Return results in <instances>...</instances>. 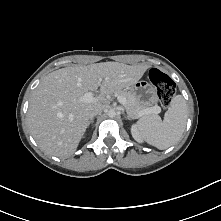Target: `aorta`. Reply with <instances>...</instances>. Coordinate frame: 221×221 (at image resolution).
<instances>
[{"instance_id": "obj_1", "label": "aorta", "mask_w": 221, "mask_h": 221, "mask_svg": "<svg viewBox=\"0 0 221 221\" xmlns=\"http://www.w3.org/2000/svg\"><path fill=\"white\" fill-rule=\"evenodd\" d=\"M107 115L110 118H113V117H115L117 115V113H116V111L114 109H110V110H108Z\"/></svg>"}]
</instances>
